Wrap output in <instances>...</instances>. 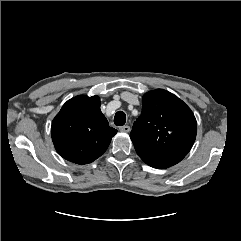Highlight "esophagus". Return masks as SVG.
Returning <instances> with one entry per match:
<instances>
[{"label": "esophagus", "mask_w": 241, "mask_h": 241, "mask_svg": "<svg viewBox=\"0 0 241 241\" xmlns=\"http://www.w3.org/2000/svg\"><path fill=\"white\" fill-rule=\"evenodd\" d=\"M119 130L121 132H126L127 133V132L130 131V127L128 125H124V126L119 127Z\"/></svg>", "instance_id": "obj_1"}]
</instances>
